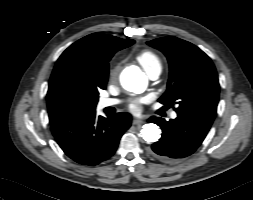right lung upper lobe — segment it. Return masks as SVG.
<instances>
[{"instance_id":"cb5924a9","label":"right lung upper lobe","mask_w":253,"mask_h":200,"mask_svg":"<svg viewBox=\"0 0 253 200\" xmlns=\"http://www.w3.org/2000/svg\"><path fill=\"white\" fill-rule=\"evenodd\" d=\"M134 40L101 33L90 34L68 47L57 60L47 92L50 123L95 111L96 105L72 95L74 86L105 89L108 62L115 52L131 46Z\"/></svg>"}]
</instances>
